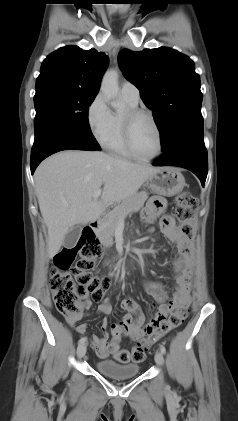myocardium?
<instances>
[{"instance_id":"1","label":"myocardium","mask_w":238,"mask_h":421,"mask_svg":"<svg viewBox=\"0 0 238 421\" xmlns=\"http://www.w3.org/2000/svg\"><path fill=\"white\" fill-rule=\"evenodd\" d=\"M140 116H145L147 117L152 124L154 125L156 132H157V136H158V150L157 152L151 156V157H143L141 155H139L133 145V141H132V127H133V123L134 121L140 117ZM122 129H123V138H124V142L125 145L128 149V151L130 152V154L137 160L142 161V162H152L153 160L157 159L163 151V136H162V131L161 128L157 122V120L155 119V117L153 116V114L145 109H140V108H129L125 114L122 115Z\"/></svg>"}]
</instances>
